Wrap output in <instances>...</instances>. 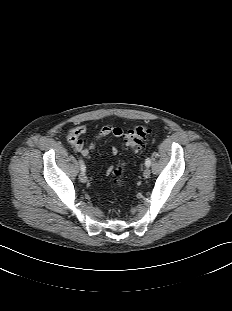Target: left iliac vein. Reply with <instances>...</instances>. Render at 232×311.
I'll use <instances>...</instances> for the list:
<instances>
[{
	"label": "left iliac vein",
	"mask_w": 232,
	"mask_h": 311,
	"mask_svg": "<svg viewBox=\"0 0 232 311\" xmlns=\"http://www.w3.org/2000/svg\"><path fill=\"white\" fill-rule=\"evenodd\" d=\"M150 174H151L150 169H149L148 167L145 168V169H144V172H143V177H144L145 179H147V178L150 177Z\"/></svg>",
	"instance_id": "left-iliac-vein-1"
}]
</instances>
